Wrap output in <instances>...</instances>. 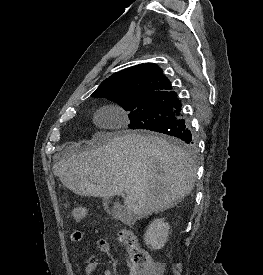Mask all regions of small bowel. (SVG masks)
I'll list each match as a JSON object with an SVG mask.
<instances>
[{
    "instance_id": "1",
    "label": "small bowel",
    "mask_w": 263,
    "mask_h": 275,
    "mask_svg": "<svg viewBox=\"0 0 263 275\" xmlns=\"http://www.w3.org/2000/svg\"><path fill=\"white\" fill-rule=\"evenodd\" d=\"M83 239V233L81 231H75L71 234L69 242L71 244H75L80 242ZM97 248L105 253V254H109L111 251V246L109 244V242L105 239H98L96 242ZM129 274L128 275H142L141 271H139L135 266H133L130 262H129ZM98 266V263L93 259L90 258L87 262V264L85 265L84 268V274L85 275H94V272L96 270ZM102 275H112L111 271L109 270H105L103 271Z\"/></svg>"
}]
</instances>
